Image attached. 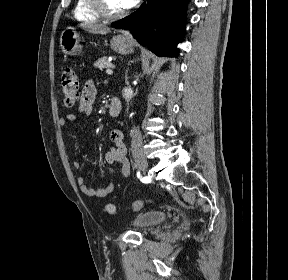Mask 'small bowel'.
<instances>
[{
    "label": "small bowel",
    "mask_w": 288,
    "mask_h": 280,
    "mask_svg": "<svg viewBox=\"0 0 288 280\" xmlns=\"http://www.w3.org/2000/svg\"><path fill=\"white\" fill-rule=\"evenodd\" d=\"M97 89L93 81L89 80L85 83L78 103V113L80 115L89 116L92 113L93 104L95 102ZM78 116L76 114H68L60 119V125L62 127L68 126L70 123L77 121ZM110 140L114 143V146L105 153V162L107 164L118 163L121 166V174L123 178H126L130 173L129 161L127 159V149L123 142V133L119 129H113L110 132ZM81 164L78 161L74 162L75 168H80ZM93 171L95 169L93 168ZM76 182L80 190L87 196L104 198L110 195L115 185L110 182L107 185L99 188H93L86 184L83 176H78Z\"/></svg>",
    "instance_id": "c3829d8e"
}]
</instances>
